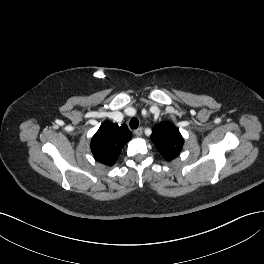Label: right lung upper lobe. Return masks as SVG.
I'll use <instances>...</instances> for the list:
<instances>
[{"label": "right lung upper lobe", "instance_id": "right-lung-upper-lobe-1", "mask_svg": "<svg viewBox=\"0 0 264 264\" xmlns=\"http://www.w3.org/2000/svg\"><path fill=\"white\" fill-rule=\"evenodd\" d=\"M131 139V132L126 125L111 124L105 121L92 137L91 150L99 162L112 166L124 145Z\"/></svg>", "mask_w": 264, "mask_h": 264}]
</instances>
